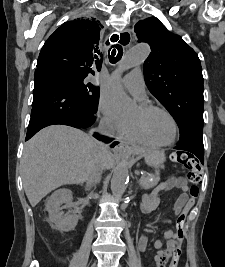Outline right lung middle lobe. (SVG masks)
Listing matches in <instances>:
<instances>
[{"mask_svg": "<svg viewBox=\"0 0 225 267\" xmlns=\"http://www.w3.org/2000/svg\"><path fill=\"white\" fill-rule=\"evenodd\" d=\"M74 89L86 108L94 115L97 112L99 88L85 81V77L59 73Z\"/></svg>", "mask_w": 225, "mask_h": 267, "instance_id": "1", "label": "right lung middle lobe"}]
</instances>
